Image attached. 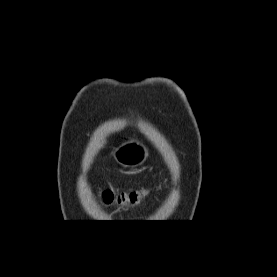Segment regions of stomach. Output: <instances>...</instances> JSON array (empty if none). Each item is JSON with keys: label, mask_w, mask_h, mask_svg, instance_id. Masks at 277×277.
<instances>
[{"label": "stomach", "mask_w": 277, "mask_h": 277, "mask_svg": "<svg viewBox=\"0 0 277 277\" xmlns=\"http://www.w3.org/2000/svg\"><path fill=\"white\" fill-rule=\"evenodd\" d=\"M113 157L122 166L134 168L145 162L148 150L141 142L129 140L114 150Z\"/></svg>", "instance_id": "0dacf381"}]
</instances>
